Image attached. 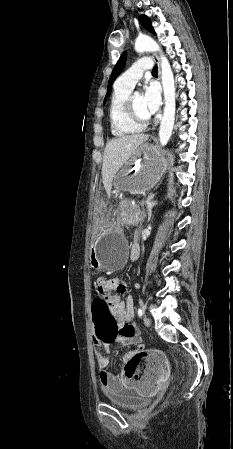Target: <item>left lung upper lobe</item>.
<instances>
[{
  "label": "left lung upper lobe",
  "instance_id": "obj_1",
  "mask_svg": "<svg viewBox=\"0 0 233 449\" xmlns=\"http://www.w3.org/2000/svg\"><path fill=\"white\" fill-rule=\"evenodd\" d=\"M139 21H140V23L142 24V26L144 28H146L148 31H150L153 34H155L154 29H153L152 24H151V21H150V19L146 15L139 16ZM126 57H127L126 52H123V54L119 58L117 64L114 66V69L112 71V74H111L109 82H108V88H107V94L105 96V101H106L107 97L111 93V87H112L113 82L120 75V73L122 72V70L125 67Z\"/></svg>",
  "mask_w": 233,
  "mask_h": 449
}]
</instances>
